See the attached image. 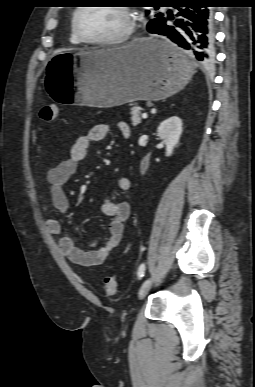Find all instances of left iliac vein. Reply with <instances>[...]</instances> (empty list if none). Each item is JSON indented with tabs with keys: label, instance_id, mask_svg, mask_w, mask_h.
I'll return each instance as SVG.
<instances>
[{
	"label": "left iliac vein",
	"instance_id": "4c4485c4",
	"mask_svg": "<svg viewBox=\"0 0 255 387\" xmlns=\"http://www.w3.org/2000/svg\"><path fill=\"white\" fill-rule=\"evenodd\" d=\"M152 282H153V278H148L142 283L138 292V296L140 299H143L147 295V293L149 292L152 286Z\"/></svg>",
	"mask_w": 255,
	"mask_h": 387
}]
</instances>
